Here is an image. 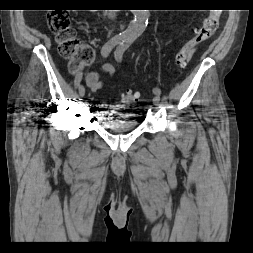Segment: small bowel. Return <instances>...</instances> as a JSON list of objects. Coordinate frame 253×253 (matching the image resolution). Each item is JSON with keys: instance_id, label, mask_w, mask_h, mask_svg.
<instances>
[{"instance_id": "small-bowel-1", "label": "small bowel", "mask_w": 253, "mask_h": 253, "mask_svg": "<svg viewBox=\"0 0 253 253\" xmlns=\"http://www.w3.org/2000/svg\"><path fill=\"white\" fill-rule=\"evenodd\" d=\"M116 73L114 66L111 64H103L99 69L91 71L87 74L85 82L87 87L92 91L96 92L105 87V82L101 80L102 74H107L112 78ZM82 73L77 74V78H81Z\"/></svg>"}]
</instances>
